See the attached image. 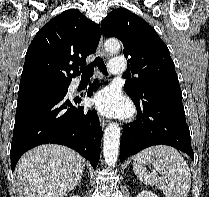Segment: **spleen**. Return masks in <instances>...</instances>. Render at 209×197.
<instances>
[{"mask_svg": "<svg viewBox=\"0 0 209 197\" xmlns=\"http://www.w3.org/2000/svg\"><path fill=\"white\" fill-rule=\"evenodd\" d=\"M146 162H153L161 176L150 174L144 167ZM133 170L141 182L162 190L165 197L188 196L191 187L190 169L183 156L173 147L156 145L139 152L135 156Z\"/></svg>", "mask_w": 209, "mask_h": 197, "instance_id": "obj_1", "label": "spleen"}]
</instances>
